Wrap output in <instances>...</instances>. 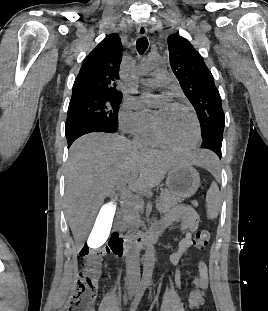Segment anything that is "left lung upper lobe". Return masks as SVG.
<instances>
[{
	"mask_svg": "<svg viewBox=\"0 0 268 311\" xmlns=\"http://www.w3.org/2000/svg\"><path fill=\"white\" fill-rule=\"evenodd\" d=\"M167 42L172 71L197 113L202 139H223L225 117L221 97L202 56L178 34L170 35Z\"/></svg>",
	"mask_w": 268,
	"mask_h": 311,
	"instance_id": "left-lung-upper-lobe-1",
	"label": "left lung upper lobe"
}]
</instances>
